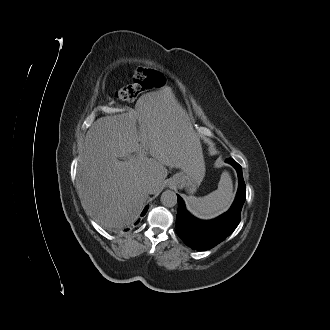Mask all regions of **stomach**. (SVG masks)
I'll list each match as a JSON object with an SVG mask.
<instances>
[{
	"mask_svg": "<svg viewBox=\"0 0 330 330\" xmlns=\"http://www.w3.org/2000/svg\"><path fill=\"white\" fill-rule=\"evenodd\" d=\"M205 176V162L202 151L192 155L180 172L173 176L175 185L185 188L189 194L196 192Z\"/></svg>",
	"mask_w": 330,
	"mask_h": 330,
	"instance_id": "0dacf381",
	"label": "stomach"
}]
</instances>
